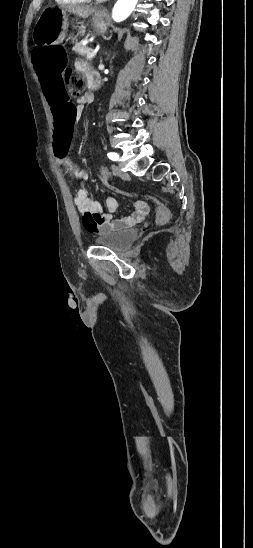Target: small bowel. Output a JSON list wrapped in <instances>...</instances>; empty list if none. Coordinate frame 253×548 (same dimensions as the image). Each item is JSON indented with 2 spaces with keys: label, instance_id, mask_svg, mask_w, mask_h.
I'll return each instance as SVG.
<instances>
[{
  "label": "small bowel",
  "instance_id": "small-bowel-1",
  "mask_svg": "<svg viewBox=\"0 0 253 548\" xmlns=\"http://www.w3.org/2000/svg\"><path fill=\"white\" fill-rule=\"evenodd\" d=\"M77 67L87 76V78L96 75L93 69L83 61H79ZM93 99L94 96L90 92L78 98L77 105H75L77 116L80 110L93 102ZM54 142L55 141L53 140V143ZM68 142L70 143V140ZM55 160L59 165L66 167L69 174L75 177L79 182L87 180V171L82 170L77 165L73 164L69 156L63 157L62 159H57L55 157ZM73 200L78 210L84 214V226L86 230L91 233L103 234L131 227L143 220L148 213V207L145 202L135 201L132 211L127 216L115 218L113 214L118 207L115 198L108 197L105 206H102L97 200L88 196L82 189H78L73 193Z\"/></svg>",
  "mask_w": 253,
  "mask_h": 548
}]
</instances>
